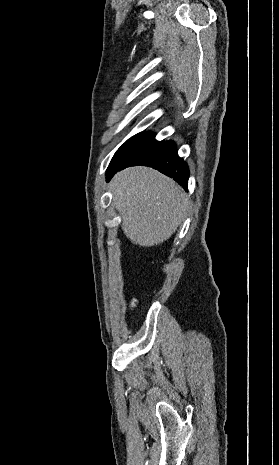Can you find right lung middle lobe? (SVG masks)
Masks as SVG:
<instances>
[{
    "label": "right lung middle lobe",
    "instance_id": "obj_1",
    "mask_svg": "<svg viewBox=\"0 0 279 465\" xmlns=\"http://www.w3.org/2000/svg\"><path fill=\"white\" fill-rule=\"evenodd\" d=\"M174 147L172 141H156L154 134L138 133L117 150L109 166L122 167L144 163Z\"/></svg>",
    "mask_w": 279,
    "mask_h": 465
}]
</instances>
